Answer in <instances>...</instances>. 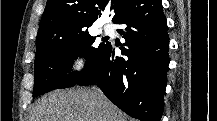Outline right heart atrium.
I'll return each mask as SVG.
<instances>
[{
  "mask_svg": "<svg viewBox=\"0 0 217 121\" xmlns=\"http://www.w3.org/2000/svg\"><path fill=\"white\" fill-rule=\"evenodd\" d=\"M74 63H75V66H76L77 68H80V67L84 66L85 60H84V58H82V57H77V58L75 59Z\"/></svg>",
  "mask_w": 217,
  "mask_h": 121,
  "instance_id": "obj_1",
  "label": "right heart atrium"
}]
</instances>
